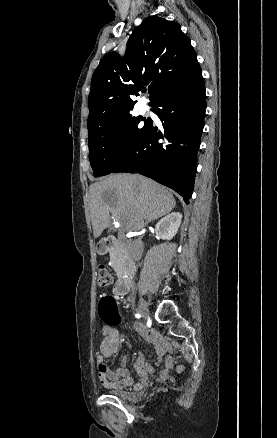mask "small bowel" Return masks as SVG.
Segmentation results:
<instances>
[{
  "label": "small bowel",
  "instance_id": "1",
  "mask_svg": "<svg viewBox=\"0 0 277 438\" xmlns=\"http://www.w3.org/2000/svg\"><path fill=\"white\" fill-rule=\"evenodd\" d=\"M135 331L140 338H147L148 343H156L157 355L160 358L165 357L166 352L164 349L168 348L167 342H162L158 336V331L154 325H138L135 327ZM104 339L100 345V351L97 355L96 365L99 367L97 374L100 377L101 383L104 387H116L119 389H142L148 380L149 373L152 371V367L145 363L143 360L138 359L135 363L136 369L140 372L141 378L139 383L134 384L133 380L128 376V371L124 366H118L113 364L110 368L104 362V358L111 357L119 351L120 348V334L118 329L113 327H105L103 329ZM161 365V362H158ZM166 367L171 368L174 365L173 360L168 359L165 362ZM179 370L183 369V366H179ZM113 370V371H112ZM159 377L162 379H168L170 377L167 371H161Z\"/></svg>",
  "mask_w": 277,
  "mask_h": 438
}]
</instances>
